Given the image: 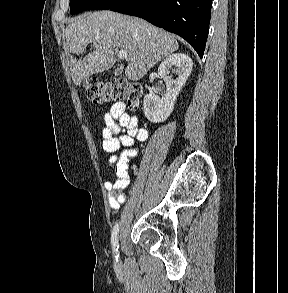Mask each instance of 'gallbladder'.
<instances>
[{"label":"gallbladder","instance_id":"obj_1","mask_svg":"<svg viewBox=\"0 0 288 293\" xmlns=\"http://www.w3.org/2000/svg\"><path fill=\"white\" fill-rule=\"evenodd\" d=\"M123 72V67L119 66L114 70L115 76L120 75Z\"/></svg>","mask_w":288,"mask_h":293}]
</instances>
